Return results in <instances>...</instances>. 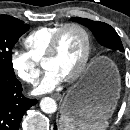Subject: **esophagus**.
I'll list each match as a JSON object with an SVG mask.
<instances>
[{"mask_svg": "<svg viewBox=\"0 0 130 130\" xmlns=\"http://www.w3.org/2000/svg\"><path fill=\"white\" fill-rule=\"evenodd\" d=\"M52 97L55 98L56 100H61L62 99V95L59 94V93L53 94Z\"/></svg>", "mask_w": 130, "mask_h": 130, "instance_id": "1", "label": "esophagus"}]
</instances>
